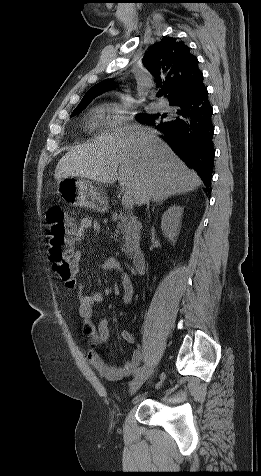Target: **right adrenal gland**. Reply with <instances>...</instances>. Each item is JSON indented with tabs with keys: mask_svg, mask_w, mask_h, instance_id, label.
Instances as JSON below:
<instances>
[{
	"mask_svg": "<svg viewBox=\"0 0 261 476\" xmlns=\"http://www.w3.org/2000/svg\"><path fill=\"white\" fill-rule=\"evenodd\" d=\"M163 201H159L158 203H162ZM157 203V202H156ZM153 211H154V207H153Z\"/></svg>",
	"mask_w": 261,
	"mask_h": 476,
	"instance_id": "right-adrenal-gland-1",
	"label": "right adrenal gland"
}]
</instances>
